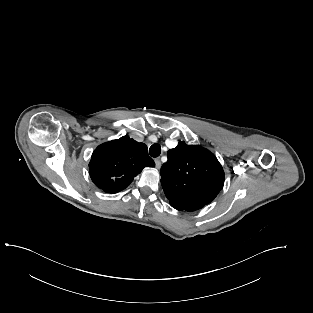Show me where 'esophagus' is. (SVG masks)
Masks as SVG:
<instances>
[{
    "mask_svg": "<svg viewBox=\"0 0 313 313\" xmlns=\"http://www.w3.org/2000/svg\"><path fill=\"white\" fill-rule=\"evenodd\" d=\"M155 166H156L157 169H160V167H161V161H160L159 158H156V159H155Z\"/></svg>",
    "mask_w": 313,
    "mask_h": 313,
    "instance_id": "34e87169",
    "label": "esophagus"
}]
</instances>
